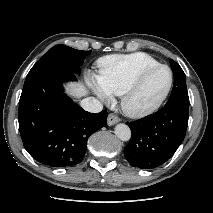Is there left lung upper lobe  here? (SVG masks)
<instances>
[{"label": "left lung upper lobe", "mask_w": 213, "mask_h": 213, "mask_svg": "<svg viewBox=\"0 0 213 213\" xmlns=\"http://www.w3.org/2000/svg\"><path fill=\"white\" fill-rule=\"evenodd\" d=\"M174 75V85L169 100L178 99L189 102V97L186 87V76L182 68L172 59L170 60Z\"/></svg>", "instance_id": "1"}]
</instances>
